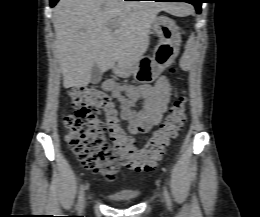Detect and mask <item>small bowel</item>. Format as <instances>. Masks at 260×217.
<instances>
[{
  "label": "small bowel",
  "mask_w": 260,
  "mask_h": 217,
  "mask_svg": "<svg viewBox=\"0 0 260 217\" xmlns=\"http://www.w3.org/2000/svg\"><path fill=\"white\" fill-rule=\"evenodd\" d=\"M102 88L117 98L120 117L132 134L147 133L157 126L174 93L173 84L167 76L160 77L155 84L138 86L106 80ZM138 102L140 107L136 109Z\"/></svg>",
  "instance_id": "small-bowel-1"
}]
</instances>
